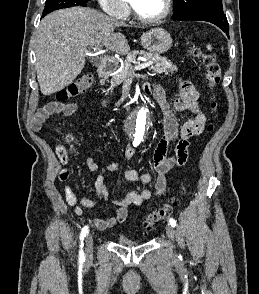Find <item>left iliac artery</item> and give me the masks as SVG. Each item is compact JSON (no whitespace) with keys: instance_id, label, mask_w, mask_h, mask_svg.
I'll use <instances>...</instances> for the list:
<instances>
[{"instance_id":"44dca946","label":"left iliac artery","mask_w":259,"mask_h":294,"mask_svg":"<svg viewBox=\"0 0 259 294\" xmlns=\"http://www.w3.org/2000/svg\"><path fill=\"white\" fill-rule=\"evenodd\" d=\"M169 223L171 224L172 227H176L177 226V223H176L175 219H173V218H170L169 219Z\"/></svg>"}]
</instances>
